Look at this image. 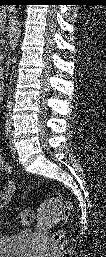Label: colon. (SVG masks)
I'll return each instance as SVG.
<instances>
[{
    "mask_svg": "<svg viewBox=\"0 0 106 257\" xmlns=\"http://www.w3.org/2000/svg\"><path fill=\"white\" fill-rule=\"evenodd\" d=\"M47 208L50 210H57L59 215L65 216L71 209V202L69 200L62 199V201L53 200L47 204ZM34 220V213L31 209H24L18 216V222L22 226L30 225ZM63 230H57L51 236V243H58L63 237Z\"/></svg>",
    "mask_w": 106,
    "mask_h": 257,
    "instance_id": "5ec220e1",
    "label": "colon"
}]
</instances>
